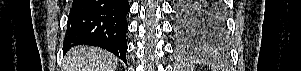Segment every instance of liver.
Segmentation results:
<instances>
[{
    "label": "liver",
    "mask_w": 301,
    "mask_h": 71,
    "mask_svg": "<svg viewBox=\"0 0 301 71\" xmlns=\"http://www.w3.org/2000/svg\"><path fill=\"white\" fill-rule=\"evenodd\" d=\"M118 58L110 52L93 46H80L67 52L65 71H116Z\"/></svg>",
    "instance_id": "liver-1"
}]
</instances>
